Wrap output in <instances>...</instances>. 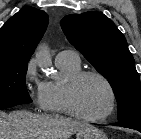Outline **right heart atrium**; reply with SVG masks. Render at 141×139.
<instances>
[{
    "label": "right heart atrium",
    "mask_w": 141,
    "mask_h": 139,
    "mask_svg": "<svg viewBox=\"0 0 141 139\" xmlns=\"http://www.w3.org/2000/svg\"><path fill=\"white\" fill-rule=\"evenodd\" d=\"M25 88L37 110H47L45 83L37 77L35 60L27 63L23 74Z\"/></svg>",
    "instance_id": "d8ad5b80"
}]
</instances>
